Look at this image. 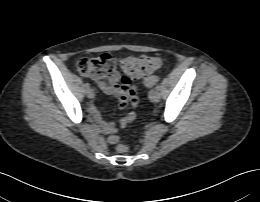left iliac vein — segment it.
I'll return each instance as SVG.
<instances>
[{
	"instance_id": "left-iliac-vein-1",
	"label": "left iliac vein",
	"mask_w": 260,
	"mask_h": 202,
	"mask_svg": "<svg viewBox=\"0 0 260 202\" xmlns=\"http://www.w3.org/2000/svg\"><path fill=\"white\" fill-rule=\"evenodd\" d=\"M160 98H161V96H160L159 91H157V90H152V91L150 92V99H151L153 102H159V101H160Z\"/></svg>"
}]
</instances>
